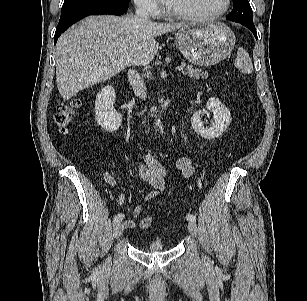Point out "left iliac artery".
Here are the masks:
<instances>
[{
	"label": "left iliac artery",
	"mask_w": 307,
	"mask_h": 301,
	"mask_svg": "<svg viewBox=\"0 0 307 301\" xmlns=\"http://www.w3.org/2000/svg\"><path fill=\"white\" fill-rule=\"evenodd\" d=\"M186 219L191 222H196V217L193 214L188 213Z\"/></svg>",
	"instance_id": "1"
}]
</instances>
